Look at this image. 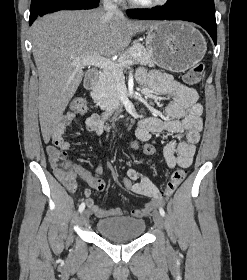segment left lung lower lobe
<instances>
[{"mask_svg": "<svg viewBox=\"0 0 247 280\" xmlns=\"http://www.w3.org/2000/svg\"><path fill=\"white\" fill-rule=\"evenodd\" d=\"M127 14L136 19L185 20L202 26L217 42V26L214 0H193L184 4L168 3L152 11H128Z\"/></svg>", "mask_w": 247, "mask_h": 280, "instance_id": "left-lung-lower-lobe-1", "label": "left lung lower lobe"}]
</instances>
